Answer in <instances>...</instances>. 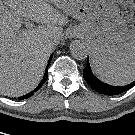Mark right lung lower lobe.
Returning a JSON list of instances; mask_svg holds the SVG:
<instances>
[{"label":"right lung lower lobe","instance_id":"right-lung-lower-lobe-1","mask_svg":"<svg viewBox=\"0 0 135 135\" xmlns=\"http://www.w3.org/2000/svg\"><path fill=\"white\" fill-rule=\"evenodd\" d=\"M52 57H53V54L50 56V58H49V63H48V66H49V64H50V61H51V59H52ZM47 69H46V71H45V74H44V76H43V79L41 80V82L39 83V85H38V87L37 88H35L32 92H30V93H28V94H26V95H23V96H21V97H19L18 99H27V98H29L30 96H32L37 90H39V88L45 83V81L47 80Z\"/></svg>","mask_w":135,"mask_h":135}]
</instances>
